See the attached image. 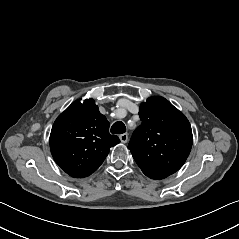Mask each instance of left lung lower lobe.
I'll use <instances>...</instances> for the list:
<instances>
[{
	"instance_id": "left-lung-lower-lobe-1",
	"label": "left lung lower lobe",
	"mask_w": 239,
	"mask_h": 239,
	"mask_svg": "<svg viewBox=\"0 0 239 239\" xmlns=\"http://www.w3.org/2000/svg\"><path fill=\"white\" fill-rule=\"evenodd\" d=\"M152 179H163V178H166L167 176H161V175H154V174H149V175H146Z\"/></svg>"
}]
</instances>
